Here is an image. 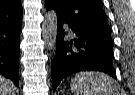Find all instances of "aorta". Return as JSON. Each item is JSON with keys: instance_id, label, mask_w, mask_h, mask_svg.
Here are the masks:
<instances>
[{"instance_id": "aorta-1", "label": "aorta", "mask_w": 135, "mask_h": 95, "mask_svg": "<svg viewBox=\"0 0 135 95\" xmlns=\"http://www.w3.org/2000/svg\"><path fill=\"white\" fill-rule=\"evenodd\" d=\"M57 13L54 10L48 11L42 24V35L45 45L48 49H53L56 45L57 26H58Z\"/></svg>"}]
</instances>
